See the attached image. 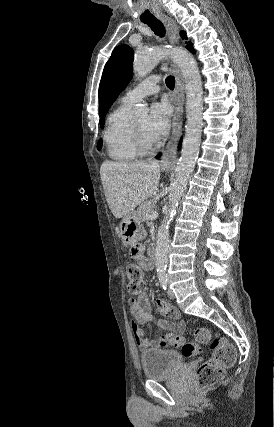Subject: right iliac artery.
I'll list each match as a JSON object with an SVG mask.
<instances>
[{"mask_svg": "<svg viewBox=\"0 0 274 427\" xmlns=\"http://www.w3.org/2000/svg\"><path fill=\"white\" fill-rule=\"evenodd\" d=\"M160 284H161V286H162V288H163L164 290H166V289H167V281H165V280L160 281Z\"/></svg>", "mask_w": 274, "mask_h": 427, "instance_id": "1", "label": "right iliac artery"}]
</instances>
